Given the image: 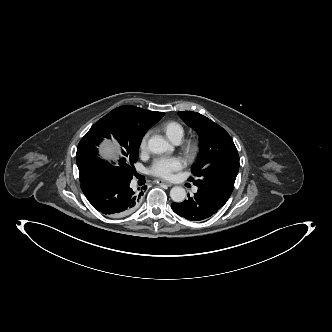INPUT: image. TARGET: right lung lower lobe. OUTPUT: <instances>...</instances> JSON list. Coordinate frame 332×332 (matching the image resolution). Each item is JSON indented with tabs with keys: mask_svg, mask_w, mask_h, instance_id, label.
Instances as JSON below:
<instances>
[{
	"mask_svg": "<svg viewBox=\"0 0 332 332\" xmlns=\"http://www.w3.org/2000/svg\"><path fill=\"white\" fill-rule=\"evenodd\" d=\"M132 177H120L111 171L96 172L81 182V189L88 201L99 212L119 217L137 209L146 186L138 191L130 187Z\"/></svg>",
	"mask_w": 332,
	"mask_h": 332,
	"instance_id": "98d812e1",
	"label": "right lung lower lobe"
}]
</instances>
